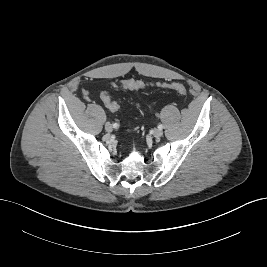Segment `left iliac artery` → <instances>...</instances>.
<instances>
[{
	"label": "left iliac artery",
	"mask_w": 267,
	"mask_h": 267,
	"mask_svg": "<svg viewBox=\"0 0 267 267\" xmlns=\"http://www.w3.org/2000/svg\"><path fill=\"white\" fill-rule=\"evenodd\" d=\"M158 128L162 130L163 129V125L162 124H159L158 125Z\"/></svg>",
	"instance_id": "1"
}]
</instances>
